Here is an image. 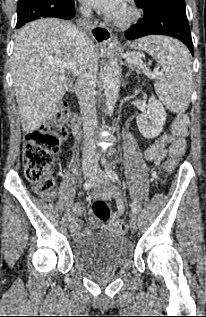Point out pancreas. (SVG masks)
<instances>
[{"label": "pancreas", "mask_w": 206, "mask_h": 317, "mask_svg": "<svg viewBox=\"0 0 206 317\" xmlns=\"http://www.w3.org/2000/svg\"><path fill=\"white\" fill-rule=\"evenodd\" d=\"M133 67H134V69H136L137 71H139L140 69H142V68H141L139 65H137V64H134Z\"/></svg>", "instance_id": "pancreas-1"}]
</instances>
